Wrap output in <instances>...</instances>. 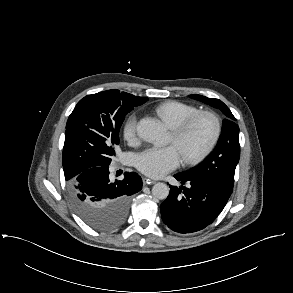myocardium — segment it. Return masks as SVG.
<instances>
[{"label":"myocardium","instance_id":"obj_1","mask_svg":"<svg viewBox=\"0 0 293 293\" xmlns=\"http://www.w3.org/2000/svg\"><path fill=\"white\" fill-rule=\"evenodd\" d=\"M206 119L208 120L212 125V132L211 135L206 142V144L198 151L196 152H188L183 154L184 161L188 164H196L201 162L203 159H205L215 148L221 132H222V124L219 119V117L210 111H200L183 122H181L179 125L172 128V135L175 142L181 141L185 135L188 133V131L200 120Z\"/></svg>","mask_w":293,"mask_h":293}]
</instances>
